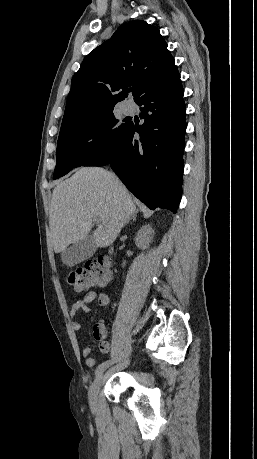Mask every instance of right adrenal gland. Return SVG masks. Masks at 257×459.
<instances>
[{
    "mask_svg": "<svg viewBox=\"0 0 257 459\" xmlns=\"http://www.w3.org/2000/svg\"><path fill=\"white\" fill-rule=\"evenodd\" d=\"M131 220H132V221H136V214H133V215L129 218V220L125 223V225H127V224L129 223V221H131Z\"/></svg>",
    "mask_w": 257,
    "mask_h": 459,
    "instance_id": "1",
    "label": "right adrenal gland"
}]
</instances>
